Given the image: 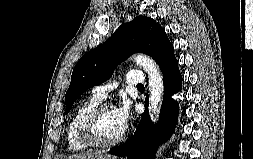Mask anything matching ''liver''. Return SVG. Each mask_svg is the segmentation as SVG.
<instances>
[{
  "instance_id": "obj_1",
  "label": "liver",
  "mask_w": 253,
  "mask_h": 159,
  "mask_svg": "<svg viewBox=\"0 0 253 159\" xmlns=\"http://www.w3.org/2000/svg\"><path fill=\"white\" fill-rule=\"evenodd\" d=\"M105 157H114V156L103 154L101 152H88L84 154H74L68 159H102Z\"/></svg>"
}]
</instances>
